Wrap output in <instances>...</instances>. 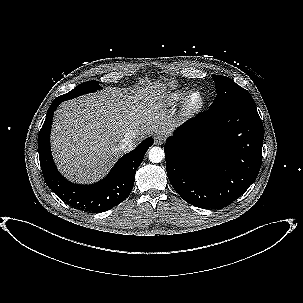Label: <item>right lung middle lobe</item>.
Wrapping results in <instances>:
<instances>
[{
    "label": "right lung middle lobe",
    "mask_w": 303,
    "mask_h": 303,
    "mask_svg": "<svg viewBox=\"0 0 303 303\" xmlns=\"http://www.w3.org/2000/svg\"><path fill=\"white\" fill-rule=\"evenodd\" d=\"M99 89H101V87L99 86L98 81H87L82 84H79L73 90L60 97L64 98V100L66 101L86 93L95 92Z\"/></svg>",
    "instance_id": "obj_1"
}]
</instances>
